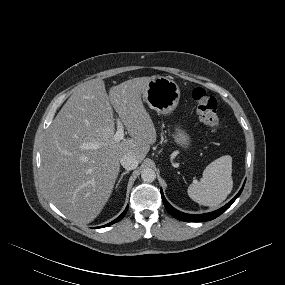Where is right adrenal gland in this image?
<instances>
[{
    "instance_id": "2a0ac1e0",
    "label": "right adrenal gland",
    "mask_w": 285,
    "mask_h": 285,
    "mask_svg": "<svg viewBox=\"0 0 285 285\" xmlns=\"http://www.w3.org/2000/svg\"><path fill=\"white\" fill-rule=\"evenodd\" d=\"M128 173H129V171H125V172H123V173L121 174V176H120V178H119V180H118V182H117V184H116V188L119 186L120 182L122 181L123 176L126 175V174H128Z\"/></svg>"
}]
</instances>
